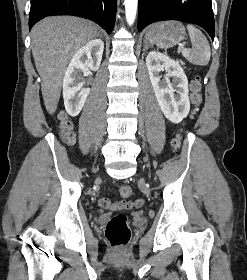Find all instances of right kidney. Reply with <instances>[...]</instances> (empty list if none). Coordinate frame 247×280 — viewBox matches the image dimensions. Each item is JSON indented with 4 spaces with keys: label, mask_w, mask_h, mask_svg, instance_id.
I'll return each instance as SVG.
<instances>
[{
    "label": "right kidney",
    "mask_w": 247,
    "mask_h": 280,
    "mask_svg": "<svg viewBox=\"0 0 247 280\" xmlns=\"http://www.w3.org/2000/svg\"><path fill=\"white\" fill-rule=\"evenodd\" d=\"M103 50V41L94 39L79 48L71 58L63 78V98L65 109L72 117L80 113L90 92L80 82L81 73L88 69H99Z\"/></svg>",
    "instance_id": "right-kidney-1"
}]
</instances>
